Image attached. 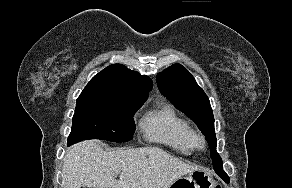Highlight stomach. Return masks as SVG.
Here are the masks:
<instances>
[{
    "mask_svg": "<svg viewBox=\"0 0 292 188\" xmlns=\"http://www.w3.org/2000/svg\"><path fill=\"white\" fill-rule=\"evenodd\" d=\"M215 185L209 171L197 169L178 178L168 188H215Z\"/></svg>",
    "mask_w": 292,
    "mask_h": 188,
    "instance_id": "1",
    "label": "stomach"
}]
</instances>
